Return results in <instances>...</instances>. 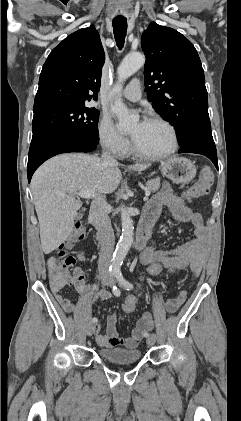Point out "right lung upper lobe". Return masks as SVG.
<instances>
[{
  "instance_id": "obj_1",
  "label": "right lung upper lobe",
  "mask_w": 241,
  "mask_h": 421,
  "mask_svg": "<svg viewBox=\"0 0 241 421\" xmlns=\"http://www.w3.org/2000/svg\"><path fill=\"white\" fill-rule=\"evenodd\" d=\"M104 60L101 40L93 26L69 35L51 51L43 65L34 108L96 100Z\"/></svg>"
}]
</instances>
